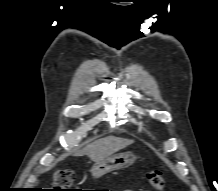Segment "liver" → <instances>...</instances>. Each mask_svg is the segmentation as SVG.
Here are the masks:
<instances>
[{"instance_id":"1","label":"liver","mask_w":218,"mask_h":191,"mask_svg":"<svg viewBox=\"0 0 218 191\" xmlns=\"http://www.w3.org/2000/svg\"><path fill=\"white\" fill-rule=\"evenodd\" d=\"M133 142V140L129 139L108 136L89 144L84 149L76 152L75 155L82 156L86 154L92 161L100 162Z\"/></svg>"}]
</instances>
